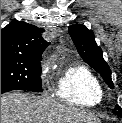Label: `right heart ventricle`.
Wrapping results in <instances>:
<instances>
[{"label": "right heart ventricle", "mask_w": 122, "mask_h": 123, "mask_svg": "<svg viewBox=\"0 0 122 123\" xmlns=\"http://www.w3.org/2000/svg\"><path fill=\"white\" fill-rule=\"evenodd\" d=\"M54 94L66 103L93 107L101 102L103 90L99 79L88 67L75 64L58 71Z\"/></svg>", "instance_id": "1"}]
</instances>
